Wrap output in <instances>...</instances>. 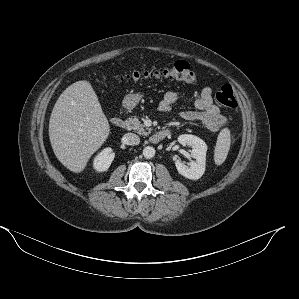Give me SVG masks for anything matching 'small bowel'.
<instances>
[{
    "label": "small bowel",
    "mask_w": 299,
    "mask_h": 299,
    "mask_svg": "<svg viewBox=\"0 0 299 299\" xmlns=\"http://www.w3.org/2000/svg\"><path fill=\"white\" fill-rule=\"evenodd\" d=\"M195 110H186L181 117L187 121H198L212 132L219 131L227 124V119L220 113L212 98V90L209 87L203 88L192 95ZM178 95L174 91H167L159 102V109L162 112H169L177 102Z\"/></svg>",
    "instance_id": "1"
}]
</instances>
